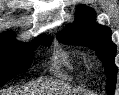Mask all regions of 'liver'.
I'll return each instance as SVG.
<instances>
[{
	"label": "liver",
	"mask_w": 119,
	"mask_h": 95,
	"mask_svg": "<svg viewBox=\"0 0 119 95\" xmlns=\"http://www.w3.org/2000/svg\"><path fill=\"white\" fill-rule=\"evenodd\" d=\"M44 88H51L52 90H60V94H72L71 89L61 83L55 82H37L36 84L29 85L24 90H7L0 91V95H35L34 93H41ZM39 90V91H38ZM59 93V92H58Z\"/></svg>",
	"instance_id": "6515ba94"
}]
</instances>
